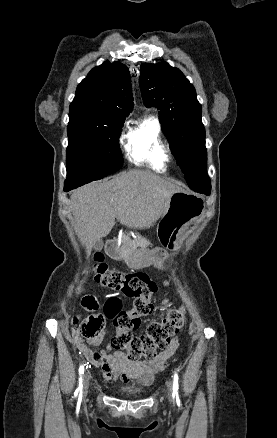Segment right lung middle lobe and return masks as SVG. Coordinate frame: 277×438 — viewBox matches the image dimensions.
I'll list each match as a JSON object with an SVG mask.
<instances>
[{"mask_svg": "<svg viewBox=\"0 0 277 438\" xmlns=\"http://www.w3.org/2000/svg\"><path fill=\"white\" fill-rule=\"evenodd\" d=\"M123 123L69 121L65 185L79 187L122 167L118 141Z\"/></svg>", "mask_w": 277, "mask_h": 438, "instance_id": "obj_1", "label": "right lung middle lobe"}]
</instances>
